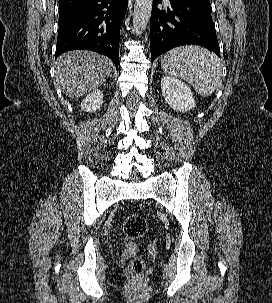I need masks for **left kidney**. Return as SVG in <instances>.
Here are the masks:
<instances>
[{
    "label": "left kidney",
    "instance_id": "5707ae66",
    "mask_svg": "<svg viewBox=\"0 0 272 303\" xmlns=\"http://www.w3.org/2000/svg\"><path fill=\"white\" fill-rule=\"evenodd\" d=\"M162 96L168 105L177 112H187L196 106L190 87L173 77L161 78Z\"/></svg>",
    "mask_w": 272,
    "mask_h": 303
}]
</instances>
